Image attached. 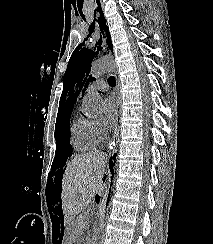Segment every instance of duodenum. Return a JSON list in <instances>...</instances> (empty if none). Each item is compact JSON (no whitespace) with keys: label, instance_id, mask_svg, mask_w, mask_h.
Masks as SVG:
<instances>
[{"label":"duodenum","instance_id":"1","mask_svg":"<svg viewBox=\"0 0 213 244\" xmlns=\"http://www.w3.org/2000/svg\"><path fill=\"white\" fill-rule=\"evenodd\" d=\"M94 244H97V239L95 238Z\"/></svg>","mask_w":213,"mask_h":244}]
</instances>
